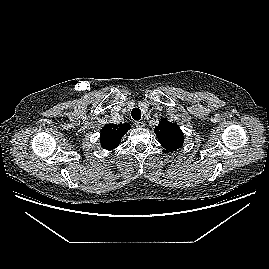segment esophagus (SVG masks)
<instances>
[{"instance_id": "34e87169", "label": "esophagus", "mask_w": 269, "mask_h": 269, "mask_svg": "<svg viewBox=\"0 0 269 269\" xmlns=\"http://www.w3.org/2000/svg\"><path fill=\"white\" fill-rule=\"evenodd\" d=\"M135 126L139 127V128H142V127L145 126V123H144V121H141V120L135 121Z\"/></svg>"}]
</instances>
